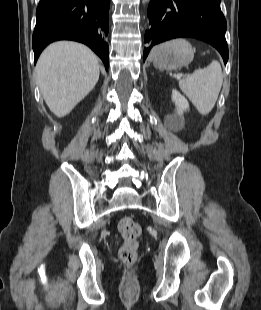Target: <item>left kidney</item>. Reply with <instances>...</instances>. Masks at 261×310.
Segmentation results:
<instances>
[{
	"mask_svg": "<svg viewBox=\"0 0 261 310\" xmlns=\"http://www.w3.org/2000/svg\"><path fill=\"white\" fill-rule=\"evenodd\" d=\"M172 101L176 106V113L166 117L167 123L172 127H180L183 124V112L189 109L187 99L176 89L172 91Z\"/></svg>",
	"mask_w": 261,
	"mask_h": 310,
	"instance_id": "1",
	"label": "left kidney"
}]
</instances>
